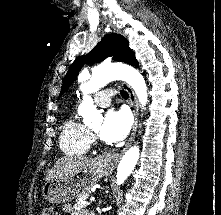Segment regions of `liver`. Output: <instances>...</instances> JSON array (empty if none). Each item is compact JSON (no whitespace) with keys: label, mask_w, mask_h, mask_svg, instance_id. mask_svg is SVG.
Wrapping results in <instances>:
<instances>
[{"label":"liver","mask_w":221,"mask_h":215,"mask_svg":"<svg viewBox=\"0 0 221 215\" xmlns=\"http://www.w3.org/2000/svg\"><path fill=\"white\" fill-rule=\"evenodd\" d=\"M95 159L79 156H65L56 161L54 167L47 172L46 181L54 178L72 177L90 167Z\"/></svg>","instance_id":"liver-1"}]
</instances>
